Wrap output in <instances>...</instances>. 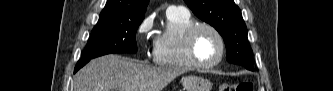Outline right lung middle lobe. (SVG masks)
<instances>
[{
  "instance_id": "1",
  "label": "right lung middle lobe",
  "mask_w": 333,
  "mask_h": 91,
  "mask_svg": "<svg viewBox=\"0 0 333 91\" xmlns=\"http://www.w3.org/2000/svg\"><path fill=\"white\" fill-rule=\"evenodd\" d=\"M143 19L144 17L99 18L82 59H92L110 53L137 52L135 35Z\"/></svg>"
}]
</instances>
